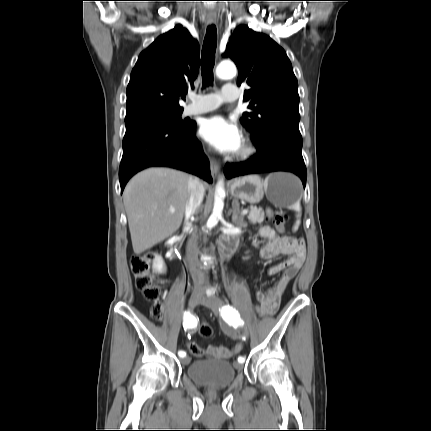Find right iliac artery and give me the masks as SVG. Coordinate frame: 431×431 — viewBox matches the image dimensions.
Segmentation results:
<instances>
[{"mask_svg":"<svg viewBox=\"0 0 431 431\" xmlns=\"http://www.w3.org/2000/svg\"><path fill=\"white\" fill-rule=\"evenodd\" d=\"M183 319H184V321H183V327H184V329H190V328L195 327L196 321H195L194 317L190 314V312L185 311ZM178 355L180 357H185L186 356V352L179 351Z\"/></svg>","mask_w":431,"mask_h":431,"instance_id":"1","label":"right iliac artery"}]
</instances>
